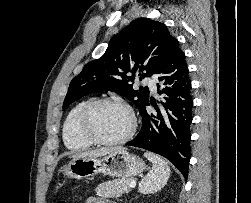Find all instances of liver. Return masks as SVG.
<instances>
[{
  "label": "liver",
  "mask_w": 251,
  "mask_h": 203,
  "mask_svg": "<svg viewBox=\"0 0 251 203\" xmlns=\"http://www.w3.org/2000/svg\"><path fill=\"white\" fill-rule=\"evenodd\" d=\"M118 149H120V148H101V149H96V150L79 152L76 154H72L70 156V158H72V159L83 158V157H96V158H98L101 156H106V155H108Z\"/></svg>",
  "instance_id": "1"
}]
</instances>
